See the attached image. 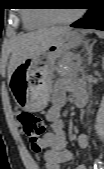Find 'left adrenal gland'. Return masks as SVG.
<instances>
[{
    "label": "left adrenal gland",
    "instance_id": "a2214340",
    "mask_svg": "<svg viewBox=\"0 0 104 169\" xmlns=\"http://www.w3.org/2000/svg\"><path fill=\"white\" fill-rule=\"evenodd\" d=\"M95 43L96 41H93L90 45L86 43L84 46V49L86 50V57H87L88 64L92 63V58H93L92 48Z\"/></svg>",
    "mask_w": 104,
    "mask_h": 169
}]
</instances>
